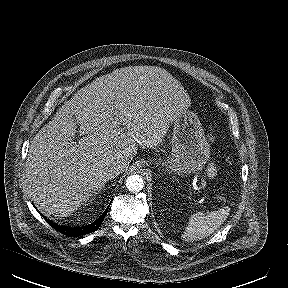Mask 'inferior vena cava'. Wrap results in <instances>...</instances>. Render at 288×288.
I'll return each mask as SVG.
<instances>
[{
  "label": "inferior vena cava",
  "mask_w": 288,
  "mask_h": 288,
  "mask_svg": "<svg viewBox=\"0 0 288 288\" xmlns=\"http://www.w3.org/2000/svg\"><path fill=\"white\" fill-rule=\"evenodd\" d=\"M123 169V166L119 163L106 164L102 167L100 173L107 180H111L117 177Z\"/></svg>",
  "instance_id": "1"
}]
</instances>
